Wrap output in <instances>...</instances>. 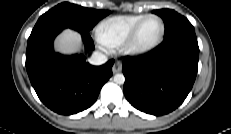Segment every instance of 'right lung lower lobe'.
<instances>
[{
	"label": "right lung lower lobe",
	"instance_id": "obj_1",
	"mask_svg": "<svg viewBox=\"0 0 231 134\" xmlns=\"http://www.w3.org/2000/svg\"><path fill=\"white\" fill-rule=\"evenodd\" d=\"M64 23H47L34 28L28 39L26 69L39 99L51 110L71 115L89 108L105 82L112 76L114 60L102 66H91L83 55L63 56L53 50L55 37ZM85 46L93 49L88 31L79 30Z\"/></svg>",
	"mask_w": 231,
	"mask_h": 134
}]
</instances>
